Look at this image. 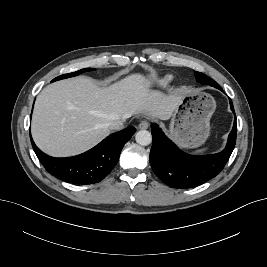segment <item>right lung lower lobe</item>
I'll return each mask as SVG.
<instances>
[{"instance_id":"obj_1","label":"right lung lower lobe","mask_w":267,"mask_h":267,"mask_svg":"<svg viewBox=\"0 0 267 267\" xmlns=\"http://www.w3.org/2000/svg\"><path fill=\"white\" fill-rule=\"evenodd\" d=\"M129 127L113 133L89 151L68 158H55L43 153L33 142L32 147L45 169L68 183L94 184L103 180L118 162L124 144L135 133Z\"/></svg>"}]
</instances>
